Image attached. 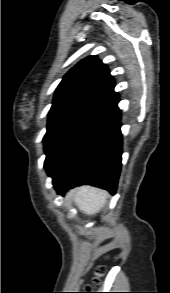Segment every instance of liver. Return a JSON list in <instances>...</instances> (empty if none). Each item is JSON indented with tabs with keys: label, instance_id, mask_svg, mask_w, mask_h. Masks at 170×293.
I'll return each mask as SVG.
<instances>
[{
	"label": "liver",
	"instance_id": "obj_1",
	"mask_svg": "<svg viewBox=\"0 0 170 293\" xmlns=\"http://www.w3.org/2000/svg\"><path fill=\"white\" fill-rule=\"evenodd\" d=\"M74 196L75 205L86 215H95L105 206L108 193L91 187L83 186L76 191H70L66 198Z\"/></svg>",
	"mask_w": 170,
	"mask_h": 293
}]
</instances>
